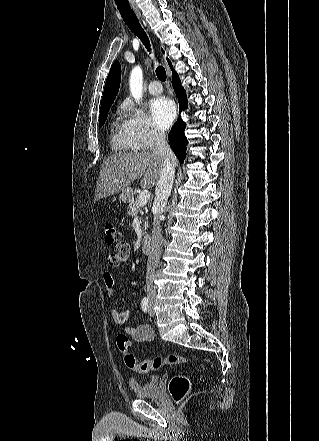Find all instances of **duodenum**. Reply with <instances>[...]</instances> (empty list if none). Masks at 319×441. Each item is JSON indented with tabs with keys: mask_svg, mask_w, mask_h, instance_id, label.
I'll return each instance as SVG.
<instances>
[{
	"mask_svg": "<svg viewBox=\"0 0 319 441\" xmlns=\"http://www.w3.org/2000/svg\"><path fill=\"white\" fill-rule=\"evenodd\" d=\"M141 249L144 254H150L152 250V240L149 235H145L141 242Z\"/></svg>",
	"mask_w": 319,
	"mask_h": 441,
	"instance_id": "duodenum-1",
	"label": "duodenum"
}]
</instances>
